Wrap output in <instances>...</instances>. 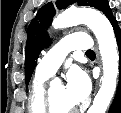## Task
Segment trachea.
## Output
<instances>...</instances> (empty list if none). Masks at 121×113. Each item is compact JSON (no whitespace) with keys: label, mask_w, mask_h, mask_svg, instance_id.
<instances>
[{"label":"trachea","mask_w":121,"mask_h":113,"mask_svg":"<svg viewBox=\"0 0 121 113\" xmlns=\"http://www.w3.org/2000/svg\"><path fill=\"white\" fill-rule=\"evenodd\" d=\"M86 54H94V51L93 50H88V51H86Z\"/></svg>","instance_id":"3493384b"}]
</instances>
